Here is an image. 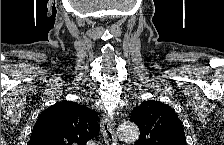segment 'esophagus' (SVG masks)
<instances>
[{"label": "esophagus", "instance_id": "34e87169", "mask_svg": "<svg viewBox=\"0 0 224 145\" xmlns=\"http://www.w3.org/2000/svg\"><path fill=\"white\" fill-rule=\"evenodd\" d=\"M111 115H104L101 120V131L105 142L108 145H117V138L114 133Z\"/></svg>", "mask_w": 224, "mask_h": 145}]
</instances>
